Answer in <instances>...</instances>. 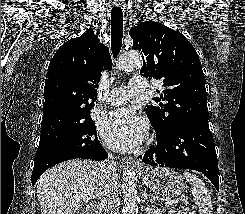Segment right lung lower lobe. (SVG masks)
Segmentation results:
<instances>
[{"instance_id":"right-lung-lower-lobe-1","label":"right lung lower lobe","mask_w":245,"mask_h":214,"mask_svg":"<svg viewBox=\"0 0 245 214\" xmlns=\"http://www.w3.org/2000/svg\"><path fill=\"white\" fill-rule=\"evenodd\" d=\"M43 150H45L48 155H54L55 153H58V154L61 153L60 150H57L56 147H43ZM107 157H108L107 152L104 150V148L102 147L100 142L97 140V143H95L93 146H91L87 152L81 153L78 156H70L68 158L61 160L60 162H63V161L69 160V159H74V158L103 160V159H106ZM35 164H36V162L34 163V165ZM56 164H58V163H56ZM52 166H50V167H52ZM50 167H36V166H34L33 171H32V185H34L36 183L37 179L42 175V173Z\"/></svg>"}]
</instances>
